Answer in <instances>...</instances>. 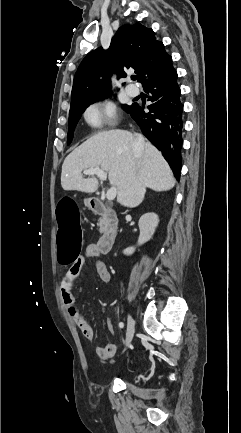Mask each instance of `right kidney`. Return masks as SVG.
I'll list each match as a JSON object with an SVG mask.
<instances>
[{"mask_svg": "<svg viewBox=\"0 0 241 433\" xmlns=\"http://www.w3.org/2000/svg\"><path fill=\"white\" fill-rule=\"evenodd\" d=\"M158 223V215L153 212L145 213L140 217L138 223L140 229V236L137 245L140 246L152 238ZM134 251L135 247H129L126 248L123 253L125 255H131L134 253Z\"/></svg>", "mask_w": 241, "mask_h": 433, "instance_id": "ca27d5eb", "label": "right kidney"}]
</instances>
